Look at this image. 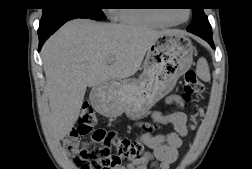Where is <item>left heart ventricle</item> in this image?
<instances>
[{
	"label": "left heart ventricle",
	"mask_w": 252,
	"mask_h": 169,
	"mask_svg": "<svg viewBox=\"0 0 252 169\" xmlns=\"http://www.w3.org/2000/svg\"><path fill=\"white\" fill-rule=\"evenodd\" d=\"M165 15L173 21H182L186 18L187 12L185 9H175L166 11Z\"/></svg>",
	"instance_id": "b2bd125f"
}]
</instances>
